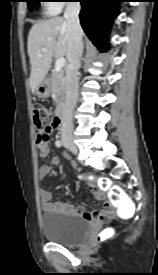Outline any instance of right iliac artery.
Segmentation results:
<instances>
[{"label": "right iliac artery", "mask_w": 158, "mask_h": 275, "mask_svg": "<svg viewBox=\"0 0 158 275\" xmlns=\"http://www.w3.org/2000/svg\"><path fill=\"white\" fill-rule=\"evenodd\" d=\"M55 144H56L57 147H61L62 146V142L60 140L56 141Z\"/></svg>", "instance_id": "obj_1"}]
</instances>
